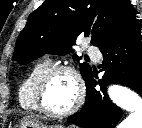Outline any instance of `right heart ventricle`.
I'll return each instance as SVG.
<instances>
[{
    "instance_id": "right-heart-ventricle-1",
    "label": "right heart ventricle",
    "mask_w": 142,
    "mask_h": 128,
    "mask_svg": "<svg viewBox=\"0 0 142 128\" xmlns=\"http://www.w3.org/2000/svg\"><path fill=\"white\" fill-rule=\"evenodd\" d=\"M51 66L49 59L36 62L26 73L18 88V101L20 106L27 111H37L35 102V88L40 76Z\"/></svg>"
}]
</instances>
